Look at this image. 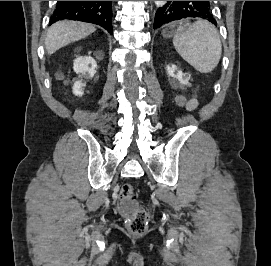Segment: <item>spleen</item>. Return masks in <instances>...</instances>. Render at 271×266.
<instances>
[{
    "label": "spleen",
    "instance_id": "spleen-1",
    "mask_svg": "<svg viewBox=\"0 0 271 266\" xmlns=\"http://www.w3.org/2000/svg\"><path fill=\"white\" fill-rule=\"evenodd\" d=\"M173 45L187 63L203 74L214 70L222 54L218 30L204 20L178 28Z\"/></svg>",
    "mask_w": 271,
    "mask_h": 266
}]
</instances>
